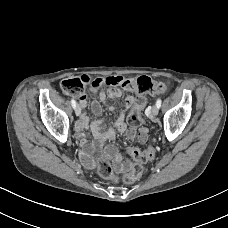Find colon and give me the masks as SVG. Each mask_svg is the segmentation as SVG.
Returning a JSON list of instances; mask_svg holds the SVG:
<instances>
[{"mask_svg": "<svg viewBox=\"0 0 228 228\" xmlns=\"http://www.w3.org/2000/svg\"><path fill=\"white\" fill-rule=\"evenodd\" d=\"M86 85H89L92 89L99 88L102 85L122 86L125 89L135 91L137 93L135 106L128 117V124L133 128L141 126L144 122L142 116V110L145 106L144 95L162 93L167 89L166 83L154 81L147 76H140L136 79L110 76L91 82H87L84 78H70L62 81L61 88L66 94L78 96L83 94ZM128 154L134 159V162L125 165V174L122 177V181L126 184H131L140 179L143 173L142 163L152 160L155 150L153 146L143 151L135 147H129ZM97 170L107 180L116 181L118 179L111 163L106 159L101 158L98 160Z\"/></svg>", "mask_w": 228, "mask_h": 228, "instance_id": "obj_1", "label": "colon"}]
</instances>
